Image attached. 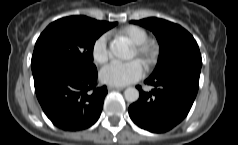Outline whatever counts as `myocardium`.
Wrapping results in <instances>:
<instances>
[{"mask_svg": "<svg viewBox=\"0 0 238 145\" xmlns=\"http://www.w3.org/2000/svg\"><path fill=\"white\" fill-rule=\"evenodd\" d=\"M135 55H138L144 59H151L157 54V48L148 42H143L134 48Z\"/></svg>", "mask_w": 238, "mask_h": 145, "instance_id": "obj_1", "label": "myocardium"}]
</instances>
